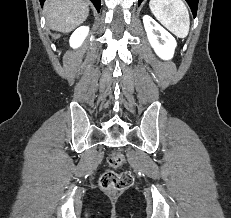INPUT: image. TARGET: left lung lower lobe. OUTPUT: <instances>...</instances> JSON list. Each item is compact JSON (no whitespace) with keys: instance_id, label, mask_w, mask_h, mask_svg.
<instances>
[{"instance_id":"left-lung-lower-lobe-1","label":"left lung lower lobe","mask_w":231,"mask_h":218,"mask_svg":"<svg viewBox=\"0 0 231 218\" xmlns=\"http://www.w3.org/2000/svg\"><path fill=\"white\" fill-rule=\"evenodd\" d=\"M142 1L143 0H138V5H140ZM186 2L189 4L192 10L193 16L195 17L197 13L198 0H186Z\"/></svg>"}]
</instances>
